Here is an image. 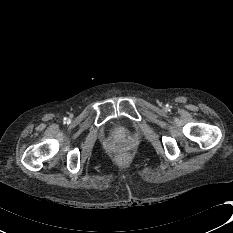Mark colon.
Segmentation results:
<instances>
[{
  "label": "colon",
  "mask_w": 233,
  "mask_h": 233,
  "mask_svg": "<svg viewBox=\"0 0 233 233\" xmlns=\"http://www.w3.org/2000/svg\"><path fill=\"white\" fill-rule=\"evenodd\" d=\"M119 159H125V155L124 154H119Z\"/></svg>",
  "instance_id": "5ec220e1"
}]
</instances>
